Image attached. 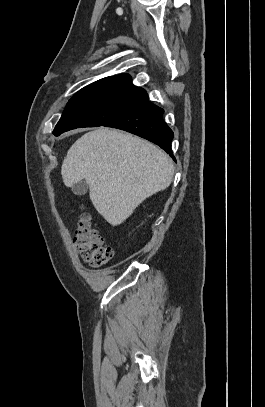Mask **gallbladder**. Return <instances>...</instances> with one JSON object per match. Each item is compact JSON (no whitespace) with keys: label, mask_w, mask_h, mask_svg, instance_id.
I'll use <instances>...</instances> for the list:
<instances>
[{"label":"gallbladder","mask_w":265,"mask_h":407,"mask_svg":"<svg viewBox=\"0 0 265 407\" xmlns=\"http://www.w3.org/2000/svg\"><path fill=\"white\" fill-rule=\"evenodd\" d=\"M88 188H89V185L86 183V181L81 180L72 186V192L75 195L82 196L87 193Z\"/></svg>","instance_id":"gallbladder-1"}]
</instances>
